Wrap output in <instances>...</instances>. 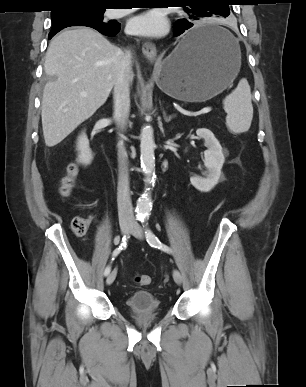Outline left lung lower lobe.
Wrapping results in <instances>:
<instances>
[{"instance_id": "0a47b994", "label": "left lung lower lobe", "mask_w": 306, "mask_h": 387, "mask_svg": "<svg viewBox=\"0 0 306 387\" xmlns=\"http://www.w3.org/2000/svg\"><path fill=\"white\" fill-rule=\"evenodd\" d=\"M193 24L187 20L179 19L175 25V36H179L184 34V47L185 49L195 48L199 45L215 42L219 40H223V32L214 29H208L203 31L196 32H187L189 28H191Z\"/></svg>"}]
</instances>
